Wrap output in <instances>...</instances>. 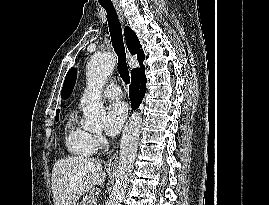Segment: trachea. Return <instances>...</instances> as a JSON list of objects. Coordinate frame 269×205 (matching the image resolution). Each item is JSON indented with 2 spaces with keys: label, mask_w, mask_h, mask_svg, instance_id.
Returning a JSON list of instances; mask_svg holds the SVG:
<instances>
[{
  "label": "trachea",
  "mask_w": 269,
  "mask_h": 205,
  "mask_svg": "<svg viewBox=\"0 0 269 205\" xmlns=\"http://www.w3.org/2000/svg\"><path fill=\"white\" fill-rule=\"evenodd\" d=\"M107 13V20L109 25V31L111 36L112 45L115 53L118 56L117 69L120 74V77L125 82V84H129L130 76L129 70L126 62V54L123 43V35L121 25L118 19V15L113 6L102 5Z\"/></svg>",
  "instance_id": "trachea-1"
}]
</instances>
